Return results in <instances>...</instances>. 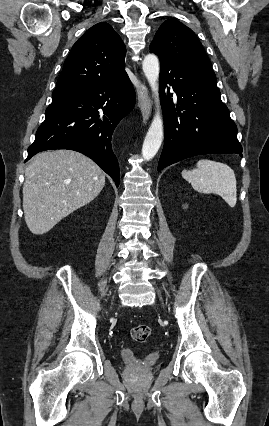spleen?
<instances>
[{"label":"spleen","instance_id":"obj_1","mask_svg":"<svg viewBox=\"0 0 269 426\" xmlns=\"http://www.w3.org/2000/svg\"><path fill=\"white\" fill-rule=\"evenodd\" d=\"M182 176L192 187L203 194H217L230 207L237 202L236 177L228 165L208 159L199 160L196 167L183 170Z\"/></svg>","mask_w":269,"mask_h":426}]
</instances>
